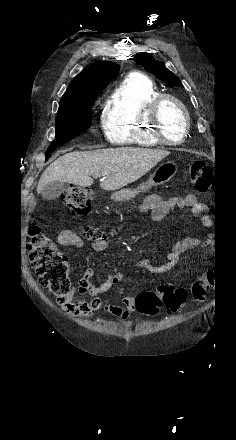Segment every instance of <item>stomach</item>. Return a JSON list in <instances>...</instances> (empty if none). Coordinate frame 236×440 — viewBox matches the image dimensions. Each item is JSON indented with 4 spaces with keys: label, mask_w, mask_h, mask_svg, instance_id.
I'll use <instances>...</instances> for the list:
<instances>
[{
    "label": "stomach",
    "mask_w": 236,
    "mask_h": 440,
    "mask_svg": "<svg viewBox=\"0 0 236 440\" xmlns=\"http://www.w3.org/2000/svg\"><path fill=\"white\" fill-rule=\"evenodd\" d=\"M177 165L172 161L162 163L149 177V179L143 182L138 189H123L115 192L111 199L115 202L128 201L134 198L139 192H145L150 190L153 186L162 185L168 182L177 173Z\"/></svg>",
    "instance_id": "0dacf381"
}]
</instances>
